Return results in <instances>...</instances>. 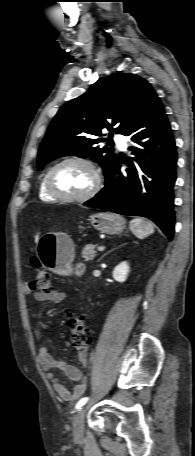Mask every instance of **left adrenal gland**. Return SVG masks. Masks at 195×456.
Wrapping results in <instances>:
<instances>
[{
  "label": "left adrenal gland",
  "instance_id": "a2214340",
  "mask_svg": "<svg viewBox=\"0 0 195 456\" xmlns=\"http://www.w3.org/2000/svg\"><path fill=\"white\" fill-rule=\"evenodd\" d=\"M114 249L110 250L109 252H107L106 254L102 255V257L99 259L101 260L104 256H106L108 253H110L111 251H113Z\"/></svg>",
  "mask_w": 195,
  "mask_h": 456
}]
</instances>
